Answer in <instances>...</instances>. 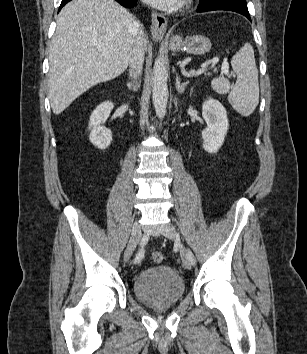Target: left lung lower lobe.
Returning <instances> with one entry per match:
<instances>
[{"label": "left lung lower lobe", "mask_w": 307, "mask_h": 354, "mask_svg": "<svg viewBox=\"0 0 307 354\" xmlns=\"http://www.w3.org/2000/svg\"><path fill=\"white\" fill-rule=\"evenodd\" d=\"M214 10H227L237 12L239 14L244 15L251 21L246 0H211L205 2L200 1L197 12H207Z\"/></svg>", "instance_id": "1"}]
</instances>
